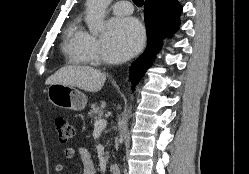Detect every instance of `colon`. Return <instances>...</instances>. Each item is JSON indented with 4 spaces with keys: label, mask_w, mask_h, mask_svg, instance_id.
<instances>
[{
    "label": "colon",
    "mask_w": 249,
    "mask_h": 174,
    "mask_svg": "<svg viewBox=\"0 0 249 174\" xmlns=\"http://www.w3.org/2000/svg\"><path fill=\"white\" fill-rule=\"evenodd\" d=\"M55 129L60 142L67 143L74 136V129L70 122L64 117H56L54 120Z\"/></svg>",
    "instance_id": "1"
}]
</instances>
